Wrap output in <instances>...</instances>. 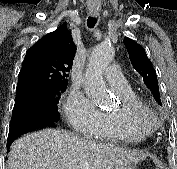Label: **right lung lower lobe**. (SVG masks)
I'll list each match as a JSON object with an SVG mask.
<instances>
[{
  "instance_id": "1",
  "label": "right lung lower lobe",
  "mask_w": 177,
  "mask_h": 169,
  "mask_svg": "<svg viewBox=\"0 0 177 169\" xmlns=\"http://www.w3.org/2000/svg\"><path fill=\"white\" fill-rule=\"evenodd\" d=\"M55 123V120L40 115L12 117L7 140V149L12 142L22 134L43 127H55Z\"/></svg>"
}]
</instances>
